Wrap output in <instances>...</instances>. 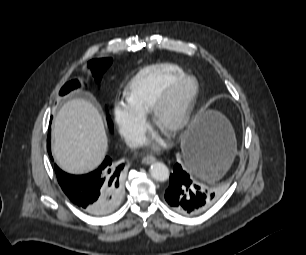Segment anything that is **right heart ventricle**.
<instances>
[{
    "instance_id": "obj_1",
    "label": "right heart ventricle",
    "mask_w": 306,
    "mask_h": 255,
    "mask_svg": "<svg viewBox=\"0 0 306 255\" xmlns=\"http://www.w3.org/2000/svg\"><path fill=\"white\" fill-rule=\"evenodd\" d=\"M184 76L185 71L171 63L144 67L128 83L126 100L138 113L146 115L156 100Z\"/></svg>"
}]
</instances>
